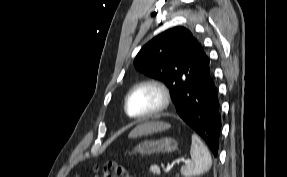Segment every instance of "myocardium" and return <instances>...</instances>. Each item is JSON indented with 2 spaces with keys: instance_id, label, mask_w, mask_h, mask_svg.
Listing matches in <instances>:
<instances>
[{
  "instance_id": "1",
  "label": "myocardium",
  "mask_w": 287,
  "mask_h": 177,
  "mask_svg": "<svg viewBox=\"0 0 287 177\" xmlns=\"http://www.w3.org/2000/svg\"><path fill=\"white\" fill-rule=\"evenodd\" d=\"M141 88H151V89L155 90L159 94L160 102L150 112L142 114V115H138V116H133L128 111V102H129V99H130L131 95L133 94V92H135L136 90L141 89ZM171 102H172V96H171V92H170L169 88L163 82H161L159 80L148 79V80H144L142 82H139L138 84L134 85L128 91V93L125 96V100H124V110L130 118L136 119V120H144V119L154 117V116L164 112L170 106Z\"/></svg>"
}]
</instances>
